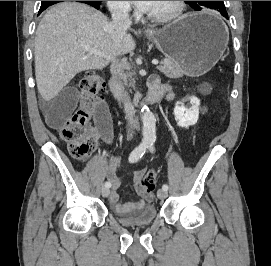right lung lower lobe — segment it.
Listing matches in <instances>:
<instances>
[{"mask_svg": "<svg viewBox=\"0 0 271 266\" xmlns=\"http://www.w3.org/2000/svg\"><path fill=\"white\" fill-rule=\"evenodd\" d=\"M58 2H61V1H58ZM58 2H57V3H58ZM78 2L86 3V4H88V5H91V6L95 7L96 9H99L100 6H101V3H102V1H78ZM50 5H52V4L42 5V6L40 7V10H39L38 15H39L41 12H43L46 8H48Z\"/></svg>", "mask_w": 271, "mask_h": 266, "instance_id": "right-lung-lower-lobe-1", "label": "right lung lower lobe"}]
</instances>
